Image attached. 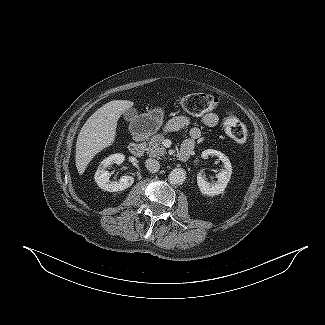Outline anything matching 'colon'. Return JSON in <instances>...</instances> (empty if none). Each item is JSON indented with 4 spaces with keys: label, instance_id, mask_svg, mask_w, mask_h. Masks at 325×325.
<instances>
[{
    "label": "colon",
    "instance_id": "5ec220e1",
    "mask_svg": "<svg viewBox=\"0 0 325 325\" xmlns=\"http://www.w3.org/2000/svg\"><path fill=\"white\" fill-rule=\"evenodd\" d=\"M219 100L216 96L205 93L188 94L179 99L181 108L190 115H201L214 110ZM225 130L236 143L243 144L247 140V131L237 116L231 114L225 118Z\"/></svg>",
    "mask_w": 325,
    "mask_h": 325
}]
</instances>
